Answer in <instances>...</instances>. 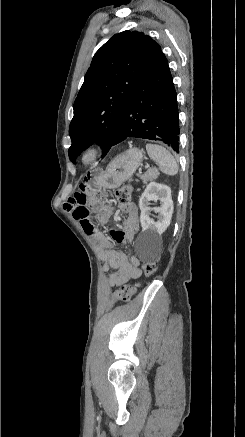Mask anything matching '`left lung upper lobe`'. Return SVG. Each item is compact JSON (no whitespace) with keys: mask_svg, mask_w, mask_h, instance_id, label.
<instances>
[{"mask_svg":"<svg viewBox=\"0 0 245 437\" xmlns=\"http://www.w3.org/2000/svg\"><path fill=\"white\" fill-rule=\"evenodd\" d=\"M159 47L148 35L127 30L96 52L73 105L68 151L73 163L94 142L103 155L109 151L125 104Z\"/></svg>","mask_w":245,"mask_h":437,"instance_id":"1","label":"left lung upper lobe"}]
</instances>
